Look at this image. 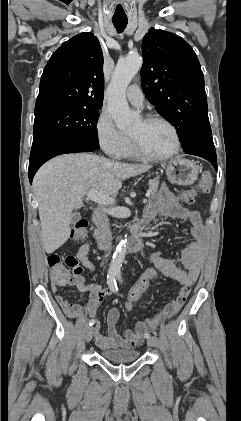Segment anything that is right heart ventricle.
Returning <instances> with one entry per match:
<instances>
[{
    "label": "right heart ventricle",
    "mask_w": 241,
    "mask_h": 421,
    "mask_svg": "<svg viewBox=\"0 0 241 421\" xmlns=\"http://www.w3.org/2000/svg\"><path fill=\"white\" fill-rule=\"evenodd\" d=\"M136 155H135V153H134V151H133V149H132V146H131V142H130V140L128 141V144H127V147H126V149H125V151H124V153H123V155H122V157L123 158H133V157H135Z\"/></svg>",
    "instance_id": "e07e8e85"
}]
</instances>
